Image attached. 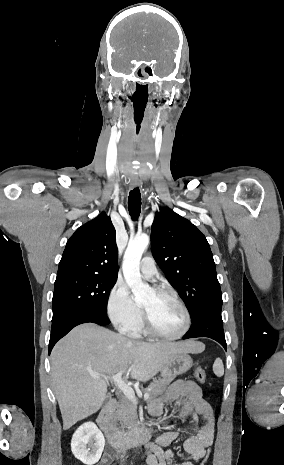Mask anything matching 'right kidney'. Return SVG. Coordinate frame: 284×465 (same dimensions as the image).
Here are the masks:
<instances>
[{
    "instance_id": "ca27d5eb",
    "label": "right kidney",
    "mask_w": 284,
    "mask_h": 465,
    "mask_svg": "<svg viewBox=\"0 0 284 465\" xmlns=\"http://www.w3.org/2000/svg\"><path fill=\"white\" fill-rule=\"evenodd\" d=\"M105 439L95 423H84L75 431L71 451L84 465L98 463L104 449Z\"/></svg>"
}]
</instances>
